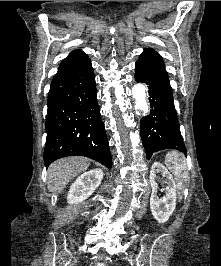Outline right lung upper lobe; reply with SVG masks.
<instances>
[{"label":"right lung upper lobe","instance_id":"cb5924a9","mask_svg":"<svg viewBox=\"0 0 221 266\" xmlns=\"http://www.w3.org/2000/svg\"><path fill=\"white\" fill-rule=\"evenodd\" d=\"M88 55L85 54L83 51L81 50H75L73 52H71L60 64L58 72H63L66 71L68 69L74 68L76 66L81 65L82 63H84L85 61H87Z\"/></svg>","mask_w":221,"mask_h":266}]
</instances>
